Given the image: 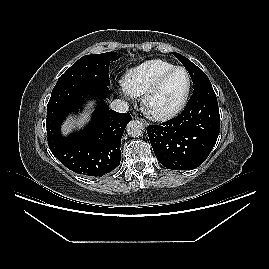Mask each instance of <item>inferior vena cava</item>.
<instances>
[{
	"label": "inferior vena cava",
	"mask_w": 269,
	"mask_h": 269,
	"mask_svg": "<svg viewBox=\"0 0 269 269\" xmlns=\"http://www.w3.org/2000/svg\"><path fill=\"white\" fill-rule=\"evenodd\" d=\"M110 108L119 113H126L128 112L129 106L127 102L120 99H116L111 102Z\"/></svg>",
	"instance_id": "602c4592"
}]
</instances>
